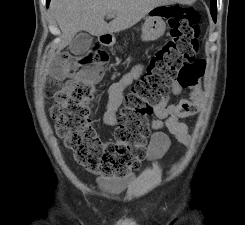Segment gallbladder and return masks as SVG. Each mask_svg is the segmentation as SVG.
<instances>
[{"label":"gallbladder","instance_id":"bac80fb5","mask_svg":"<svg viewBox=\"0 0 245 225\" xmlns=\"http://www.w3.org/2000/svg\"><path fill=\"white\" fill-rule=\"evenodd\" d=\"M92 44V37L88 33L80 32L69 44V51L77 56L84 55Z\"/></svg>","mask_w":245,"mask_h":225}]
</instances>
